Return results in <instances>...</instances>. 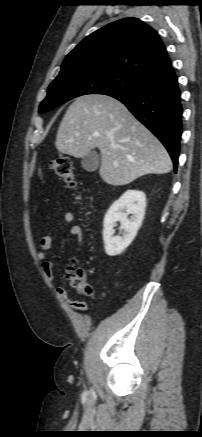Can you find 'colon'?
I'll list each match as a JSON object with an SVG mask.
<instances>
[{"label": "colon", "mask_w": 202, "mask_h": 437, "mask_svg": "<svg viewBox=\"0 0 202 437\" xmlns=\"http://www.w3.org/2000/svg\"><path fill=\"white\" fill-rule=\"evenodd\" d=\"M49 168L61 178L69 188L76 189L77 181L73 163L68 157H58L49 162ZM66 278L70 285L81 295L88 296L92 293V287L87 281L84 271L73 261L67 267Z\"/></svg>", "instance_id": "obj_1"}]
</instances>
